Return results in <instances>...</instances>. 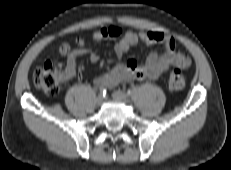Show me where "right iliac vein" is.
Here are the masks:
<instances>
[{"instance_id": "63e3f726", "label": "right iliac vein", "mask_w": 231, "mask_h": 170, "mask_svg": "<svg viewBox=\"0 0 231 170\" xmlns=\"http://www.w3.org/2000/svg\"><path fill=\"white\" fill-rule=\"evenodd\" d=\"M104 100H105L104 97L102 95H99L96 99L97 105L103 104Z\"/></svg>"}]
</instances>
